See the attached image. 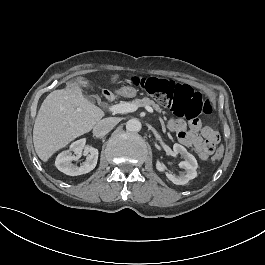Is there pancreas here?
<instances>
[{
    "instance_id": "pancreas-1",
    "label": "pancreas",
    "mask_w": 265,
    "mask_h": 265,
    "mask_svg": "<svg viewBox=\"0 0 265 265\" xmlns=\"http://www.w3.org/2000/svg\"><path fill=\"white\" fill-rule=\"evenodd\" d=\"M134 106L138 107H152L153 109L156 110L157 113H162L166 114V112L163 110L162 107H160L155 101L149 99V98H144V99H137L135 102H133Z\"/></svg>"
}]
</instances>
